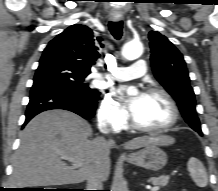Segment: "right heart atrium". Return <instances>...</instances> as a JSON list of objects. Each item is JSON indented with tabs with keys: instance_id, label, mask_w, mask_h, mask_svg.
I'll return each mask as SVG.
<instances>
[{
	"instance_id": "obj_1",
	"label": "right heart atrium",
	"mask_w": 218,
	"mask_h": 191,
	"mask_svg": "<svg viewBox=\"0 0 218 191\" xmlns=\"http://www.w3.org/2000/svg\"><path fill=\"white\" fill-rule=\"evenodd\" d=\"M98 119L112 130H118L127 123L128 113L111 94H106L98 109Z\"/></svg>"
}]
</instances>
